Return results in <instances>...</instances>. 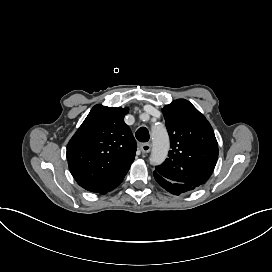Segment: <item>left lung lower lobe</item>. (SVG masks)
<instances>
[{
	"mask_svg": "<svg viewBox=\"0 0 272 272\" xmlns=\"http://www.w3.org/2000/svg\"><path fill=\"white\" fill-rule=\"evenodd\" d=\"M154 177L155 180L168 192L174 194V195H180L181 193H185L191 190H194L196 187L184 184V183H178L170 181L163 176H161L159 173L154 171Z\"/></svg>",
	"mask_w": 272,
	"mask_h": 272,
	"instance_id": "0a47b994",
	"label": "left lung lower lobe"
}]
</instances>
